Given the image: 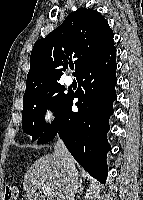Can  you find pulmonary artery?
I'll use <instances>...</instances> for the list:
<instances>
[{"instance_id":"1","label":"pulmonary artery","mask_w":143,"mask_h":200,"mask_svg":"<svg viewBox=\"0 0 143 200\" xmlns=\"http://www.w3.org/2000/svg\"><path fill=\"white\" fill-rule=\"evenodd\" d=\"M72 82H73V79H72L71 77H66V78H65V83H66L67 85H71Z\"/></svg>"}]
</instances>
